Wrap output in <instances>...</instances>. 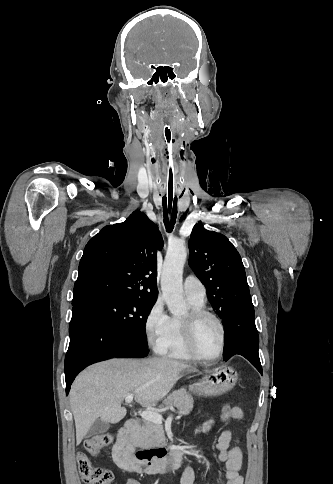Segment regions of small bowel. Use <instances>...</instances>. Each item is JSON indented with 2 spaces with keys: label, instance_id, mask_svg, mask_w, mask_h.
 <instances>
[{
  "label": "small bowel",
  "instance_id": "1",
  "mask_svg": "<svg viewBox=\"0 0 333 484\" xmlns=\"http://www.w3.org/2000/svg\"><path fill=\"white\" fill-rule=\"evenodd\" d=\"M243 417V411L240 407L234 406L228 419L240 420ZM214 425V420L209 419L202 423L195 433H203L209 431ZM233 440L232 433L229 430H224L220 433L215 449L218 452V458L225 464L226 472L220 484H243L244 479L241 472L242 469V451L238 445L230 448ZM195 472L191 466H187L181 476V484H194ZM127 484H139L134 479H129Z\"/></svg>",
  "mask_w": 333,
  "mask_h": 484
}]
</instances>
